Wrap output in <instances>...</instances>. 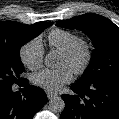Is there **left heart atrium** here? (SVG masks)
Returning <instances> with one entry per match:
<instances>
[{"label": "left heart atrium", "mask_w": 119, "mask_h": 119, "mask_svg": "<svg viewBox=\"0 0 119 119\" xmlns=\"http://www.w3.org/2000/svg\"><path fill=\"white\" fill-rule=\"evenodd\" d=\"M73 78V71L67 67L59 70L42 69L32 75L35 85L51 92L59 91Z\"/></svg>", "instance_id": "obj_1"}]
</instances>
